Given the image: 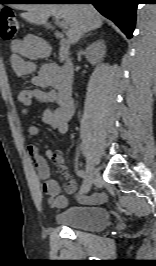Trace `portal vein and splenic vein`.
<instances>
[{"mask_svg":"<svg viewBox=\"0 0 156 266\" xmlns=\"http://www.w3.org/2000/svg\"><path fill=\"white\" fill-rule=\"evenodd\" d=\"M56 21H57L59 27H61V28H63V29H66V28L68 27V24H67L66 21H64V20H60V19H57Z\"/></svg>","mask_w":156,"mask_h":266,"instance_id":"18ae733b","label":"portal vein and splenic vein"}]
</instances>
